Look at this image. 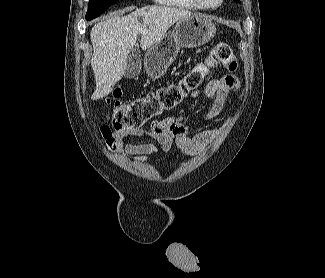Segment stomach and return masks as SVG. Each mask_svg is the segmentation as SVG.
<instances>
[{
	"label": "stomach",
	"mask_w": 325,
	"mask_h": 278,
	"mask_svg": "<svg viewBox=\"0 0 325 278\" xmlns=\"http://www.w3.org/2000/svg\"><path fill=\"white\" fill-rule=\"evenodd\" d=\"M216 34V26L205 16L195 15L177 21L172 32L145 54V67L154 79L161 77L177 57L181 48H196L208 43Z\"/></svg>",
	"instance_id": "1"
}]
</instances>
